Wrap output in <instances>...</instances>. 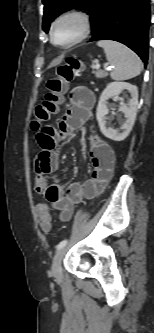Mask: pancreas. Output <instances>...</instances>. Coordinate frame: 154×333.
<instances>
[{
    "mask_svg": "<svg viewBox=\"0 0 154 333\" xmlns=\"http://www.w3.org/2000/svg\"><path fill=\"white\" fill-rule=\"evenodd\" d=\"M93 68H95V66L93 65ZM93 73L95 74V76L97 78H103V77H107L108 76V73L103 71V70H100V69H97L96 71H93Z\"/></svg>",
    "mask_w": 154,
    "mask_h": 333,
    "instance_id": "obj_1",
    "label": "pancreas"
}]
</instances>
